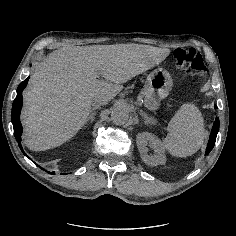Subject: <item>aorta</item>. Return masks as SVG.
Segmentation results:
<instances>
[{"mask_svg":"<svg viewBox=\"0 0 236 236\" xmlns=\"http://www.w3.org/2000/svg\"><path fill=\"white\" fill-rule=\"evenodd\" d=\"M111 119L116 125H124L129 119V112L126 108L116 107L111 113Z\"/></svg>","mask_w":236,"mask_h":236,"instance_id":"1","label":"aorta"}]
</instances>
